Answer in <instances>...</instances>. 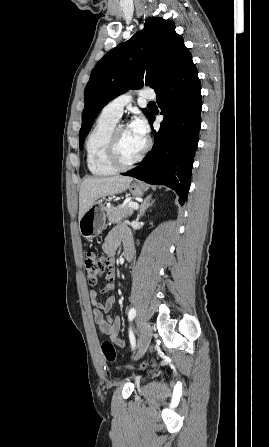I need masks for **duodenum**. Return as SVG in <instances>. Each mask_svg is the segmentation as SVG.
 <instances>
[{
    "mask_svg": "<svg viewBox=\"0 0 269 447\" xmlns=\"http://www.w3.org/2000/svg\"><path fill=\"white\" fill-rule=\"evenodd\" d=\"M125 261L130 262L133 258V251L131 249H125L123 251Z\"/></svg>",
    "mask_w": 269,
    "mask_h": 447,
    "instance_id": "1",
    "label": "duodenum"
}]
</instances>
